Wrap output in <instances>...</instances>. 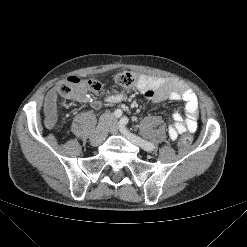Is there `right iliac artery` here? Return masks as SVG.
Returning a JSON list of instances; mask_svg holds the SVG:
<instances>
[{
    "instance_id": "82829eb1",
    "label": "right iliac artery",
    "mask_w": 247,
    "mask_h": 247,
    "mask_svg": "<svg viewBox=\"0 0 247 247\" xmlns=\"http://www.w3.org/2000/svg\"><path fill=\"white\" fill-rule=\"evenodd\" d=\"M114 116L117 117V118L121 117L122 116V111L120 109L115 110Z\"/></svg>"
}]
</instances>
